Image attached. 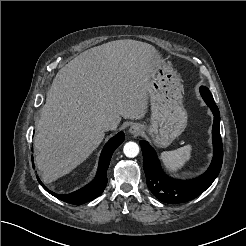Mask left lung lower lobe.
I'll list each match as a JSON object with an SVG mask.
<instances>
[{"instance_id": "left-lung-lower-lobe-1", "label": "left lung lower lobe", "mask_w": 246, "mask_h": 246, "mask_svg": "<svg viewBox=\"0 0 246 246\" xmlns=\"http://www.w3.org/2000/svg\"><path fill=\"white\" fill-rule=\"evenodd\" d=\"M200 93L214 115L212 129L214 156L210 167L203 175L191 180H175L167 177L160 167L155 151L147 142H141L147 185L154 196L162 202L176 204L196 198L213 183L220 172L223 161L220 113L209 89L201 86Z\"/></svg>"}]
</instances>
